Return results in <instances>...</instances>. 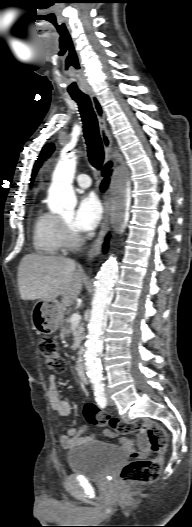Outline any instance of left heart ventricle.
Returning a JSON list of instances; mask_svg holds the SVG:
<instances>
[{"mask_svg":"<svg viewBox=\"0 0 192 527\" xmlns=\"http://www.w3.org/2000/svg\"><path fill=\"white\" fill-rule=\"evenodd\" d=\"M71 218H72V214H67L63 217V219L70 225V222H71Z\"/></svg>","mask_w":192,"mask_h":527,"instance_id":"1","label":"left heart ventricle"}]
</instances>
